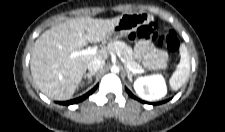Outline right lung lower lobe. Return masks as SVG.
<instances>
[{"mask_svg":"<svg viewBox=\"0 0 225 132\" xmlns=\"http://www.w3.org/2000/svg\"><path fill=\"white\" fill-rule=\"evenodd\" d=\"M97 86H95L92 90H90L85 95H83V96H81V97H79L77 99H73V100H70V101L61 102V104H63V105H71V104H74V103H78V102L86 99L90 94H92L96 90Z\"/></svg>","mask_w":225,"mask_h":132,"instance_id":"right-lung-lower-lobe-1","label":"right lung lower lobe"}]
</instances>
